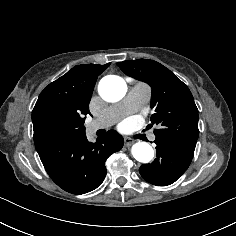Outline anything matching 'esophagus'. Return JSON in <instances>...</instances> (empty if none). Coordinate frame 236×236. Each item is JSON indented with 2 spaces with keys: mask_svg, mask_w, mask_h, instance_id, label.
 Wrapping results in <instances>:
<instances>
[{
  "mask_svg": "<svg viewBox=\"0 0 236 236\" xmlns=\"http://www.w3.org/2000/svg\"><path fill=\"white\" fill-rule=\"evenodd\" d=\"M132 143H133V141H129V140L125 139V145L126 146H131Z\"/></svg>",
  "mask_w": 236,
  "mask_h": 236,
  "instance_id": "esophagus-1",
  "label": "esophagus"
}]
</instances>
